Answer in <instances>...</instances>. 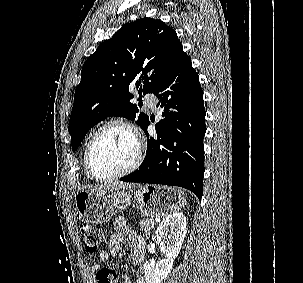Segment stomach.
<instances>
[{
  "label": "stomach",
  "instance_id": "obj_1",
  "mask_svg": "<svg viewBox=\"0 0 303 283\" xmlns=\"http://www.w3.org/2000/svg\"><path fill=\"white\" fill-rule=\"evenodd\" d=\"M132 203H136L143 216L160 218L184 207L186 197L179 188L158 185L125 188L100 195L79 191L75 195L79 219L90 224L106 223L115 211L125 210Z\"/></svg>",
  "mask_w": 303,
  "mask_h": 283
}]
</instances>
